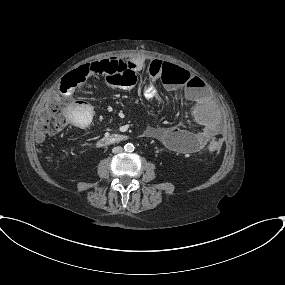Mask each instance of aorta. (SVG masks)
<instances>
[{"instance_id": "762f6f07", "label": "aorta", "mask_w": 285, "mask_h": 285, "mask_svg": "<svg viewBox=\"0 0 285 285\" xmlns=\"http://www.w3.org/2000/svg\"><path fill=\"white\" fill-rule=\"evenodd\" d=\"M124 149L127 152H132V151H134V145L132 143H127V144H125Z\"/></svg>"}]
</instances>
